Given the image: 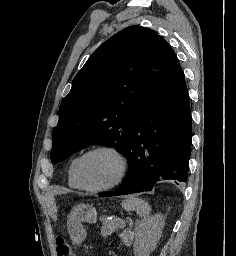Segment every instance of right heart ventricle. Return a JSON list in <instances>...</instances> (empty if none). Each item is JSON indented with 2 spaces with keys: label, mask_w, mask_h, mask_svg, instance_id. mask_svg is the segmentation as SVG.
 <instances>
[{
  "label": "right heart ventricle",
  "mask_w": 236,
  "mask_h": 256,
  "mask_svg": "<svg viewBox=\"0 0 236 256\" xmlns=\"http://www.w3.org/2000/svg\"><path fill=\"white\" fill-rule=\"evenodd\" d=\"M80 157V154L74 155L67 166V182L68 185L73 189H81V186L78 183L77 177H76V164Z\"/></svg>",
  "instance_id": "right-heart-ventricle-1"
}]
</instances>
